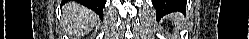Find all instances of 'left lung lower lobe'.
<instances>
[{
    "mask_svg": "<svg viewBox=\"0 0 249 39\" xmlns=\"http://www.w3.org/2000/svg\"><path fill=\"white\" fill-rule=\"evenodd\" d=\"M175 2H179V5L171 7ZM183 2L184 4H182ZM152 3L156 9L157 18H160L161 16L173 11H183L186 2L184 0H153Z\"/></svg>",
    "mask_w": 249,
    "mask_h": 39,
    "instance_id": "left-lung-lower-lobe-1",
    "label": "left lung lower lobe"
}]
</instances>
